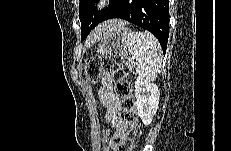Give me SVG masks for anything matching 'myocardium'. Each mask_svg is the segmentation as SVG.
<instances>
[{
  "mask_svg": "<svg viewBox=\"0 0 231 151\" xmlns=\"http://www.w3.org/2000/svg\"><path fill=\"white\" fill-rule=\"evenodd\" d=\"M108 1H98L97 3H98V5H100V6H102V5H104L105 3H107Z\"/></svg>",
  "mask_w": 231,
  "mask_h": 151,
  "instance_id": "1",
  "label": "myocardium"
}]
</instances>
